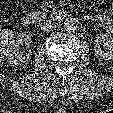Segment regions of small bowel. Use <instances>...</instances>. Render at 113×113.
<instances>
[{
  "instance_id": "obj_1",
  "label": "small bowel",
  "mask_w": 113,
  "mask_h": 113,
  "mask_svg": "<svg viewBox=\"0 0 113 113\" xmlns=\"http://www.w3.org/2000/svg\"><path fill=\"white\" fill-rule=\"evenodd\" d=\"M95 21L103 27L106 31L113 34V15L99 14L95 16Z\"/></svg>"
}]
</instances>
